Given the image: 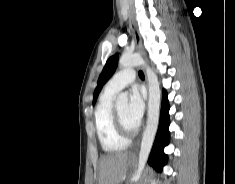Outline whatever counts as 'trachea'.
<instances>
[{"label": "trachea", "mask_w": 235, "mask_h": 184, "mask_svg": "<svg viewBox=\"0 0 235 184\" xmlns=\"http://www.w3.org/2000/svg\"><path fill=\"white\" fill-rule=\"evenodd\" d=\"M139 77L141 78V79H144V74H143V72L140 70L139 71Z\"/></svg>", "instance_id": "1"}]
</instances>
